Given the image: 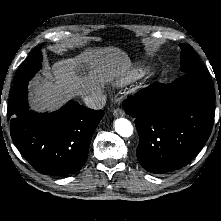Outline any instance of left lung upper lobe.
<instances>
[{
  "mask_svg": "<svg viewBox=\"0 0 221 221\" xmlns=\"http://www.w3.org/2000/svg\"><path fill=\"white\" fill-rule=\"evenodd\" d=\"M181 47V63L180 70L183 74L193 73L206 75L204 68L196 56L193 48L188 44H180Z\"/></svg>",
  "mask_w": 221,
  "mask_h": 221,
  "instance_id": "left-lung-upper-lobe-1",
  "label": "left lung upper lobe"
}]
</instances>
